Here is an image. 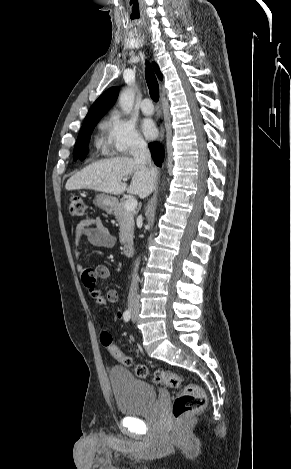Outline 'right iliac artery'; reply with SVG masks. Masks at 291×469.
I'll return each instance as SVG.
<instances>
[{"mask_svg":"<svg viewBox=\"0 0 291 469\" xmlns=\"http://www.w3.org/2000/svg\"><path fill=\"white\" fill-rule=\"evenodd\" d=\"M131 318V312L129 309L125 310V312L123 313V319L125 322H128Z\"/></svg>","mask_w":291,"mask_h":469,"instance_id":"right-iliac-artery-1","label":"right iliac artery"}]
</instances>
